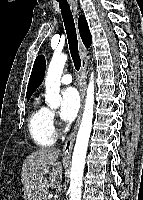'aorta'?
Returning <instances> with one entry per match:
<instances>
[{
    "mask_svg": "<svg viewBox=\"0 0 143 200\" xmlns=\"http://www.w3.org/2000/svg\"><path fill=\"white\" fill-rule=\"evenodd\" d=\"M67 61L64 53L54 54L49 64L45 79L46 94L45 101L50 108H58L61 105L60 79L63 68ZM94 109V73H91L85 99V108L78 130L76 143L72 156V166L70 173V200H80L83 171L85 165L88 142L92 130Z\"/></svg>",
    "mask_w": 143,
    "mask_h": 200,
    "instance_id": "1",
    "label": "aorta"
}]
</instances>
